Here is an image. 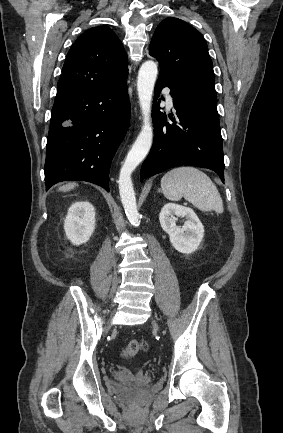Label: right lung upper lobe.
Here are the masks:
<instances>
[{"mask_svg": "<svg viewBox=\"0 0 283 433\" xmlns=\"http://www.w3.org/2000/svg\"><path fill=\"white\" fill-rule=\"evenodd\" d=\"M128 75L122 42L107 26L85 31L69 50L56 98H66L120 83Z\"/></svg>", "mask_w": 283, "mask_h": 433, "instance_id": "1", "label": "right lung upper lobe"}]
</instances>
